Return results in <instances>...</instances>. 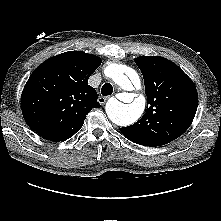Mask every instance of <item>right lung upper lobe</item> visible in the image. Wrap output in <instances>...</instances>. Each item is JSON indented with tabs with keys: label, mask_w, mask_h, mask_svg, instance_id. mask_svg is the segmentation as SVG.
Instances as JSON below:
<instances>
[{
	"label": "right lung upper lobe",
	"mask_w": 221,
	"mask_h": 221,
	"mask_svg": "<svg viewBox=\"0 0 221 221\" xmlns=\"http://www.w3.org/2000/svg\"><path fill=\"white\" fill-rule=\"evenodd\" d=\"M102 60L81 51L49 58L29 77L21 96L27 125L50 141H64L78 132L92 108L100 107L89 76Z\"/></svg>",
	"instance_id": "1"
}]
</instances>
